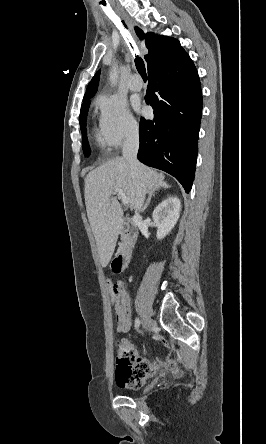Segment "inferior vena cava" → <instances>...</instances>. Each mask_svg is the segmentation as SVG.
I'll return each instance as SVG.
<instances>
[{"label":"inferior vena cava","instance_id":"1","mask_svg":"<svg viewBox=\"0 0 266 444\" xmlns=\"http://www.w3.org/2000/svg\"><path fill=\"white\" fill-rule=\"evenodd\" d=\"M139 149V133L138 128L134 127L132 128L126 139L124 140L123 144V158L127 160V162L130 165V169L132 173L141 179V165L139 161L137 160V153ZM147 193V189L145 187V184L143 182L140 183V186L138 187V196L135 204V217L140 218V212L144 208V201H145V195Z\"/></svg>","mask_w":266,"mask_h":444}]
</instances>
